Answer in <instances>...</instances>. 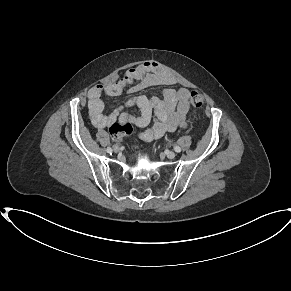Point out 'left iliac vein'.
Returning <instances> with one entry per match:
<instances>
[{"mask_svg": "<svg viewBox=\"0 0 291 291\" xmlns=\"http://www.w3.org/2000/svg\"><path fill=\"white\" fill-rule=\"evenodd\" d=\"M166 156L169 159H173V158H175L176 154L173 151H166Z\"/></svg>", "mask_w": 291, "mask_h": 291, "instance_id": "left-iliac-vein-1", "label": "left iliac vein"}]
</instances>
